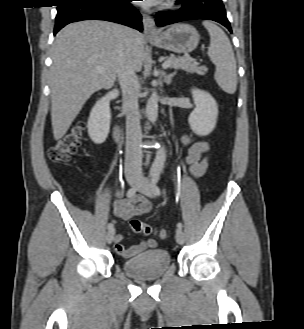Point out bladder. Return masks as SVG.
Instances as JSON below:
<instances>
[{
  "mask_svg": "<svg viewBox=\"0 0 304 329\" xmlns=\"http://www.w3.org/2000/svg\"><path fill=\"white\" fill-rule=\"evenodd\" d=\"M170 254L161 249H150L122 262L124 271L137 279L160 277L169 268Z\"/></svg>",
  "mask_w": 304,
  "mask_h": 329,
  "instance_id": "1",
  "label": "bladder"
}]
</instances>
